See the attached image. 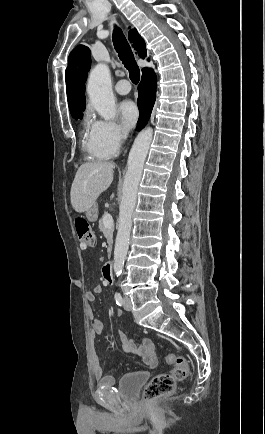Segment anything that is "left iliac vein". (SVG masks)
<instances>
[{
    "label": "left iliac vein",
    "instance_id": "obj_1",
    "mask_svg": "<svg viewBox=\"0 0 265 434\" xmlns=\"http://www.w3.org/2000/svg\"><path fill=\"white\" fill-rule=\"evenodd\" d=\"M123 306H124V309L126 311H130L132 309V304H131L130 298L125 297L124 302H123Z\"/></svg>",
    "mask_w": 265,
    "mask_h": 434
}]
</instances>
